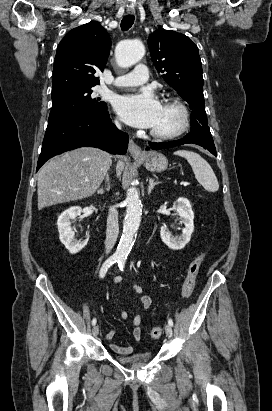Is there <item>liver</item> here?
Instances as JSON below:
<instances>
[{
    "label": "liver",
    "instance_id": "obj_1",
    "mask_svg": "<svg viewBox=\"0 0 272 411\" xmlns=\"http://www.w3.org/2000/svg\"><path fill=\"white\" fill-rule=\"evenodd\" d=\"M112 163L111 155L92 147L66 152L38 172V209L86 198L95 193ZM124 163L118 160L120 174Z\"/></svg>",
    "mask_w": 272,
    "mask_h": 411
}]
</instances>
